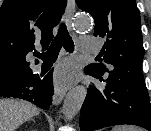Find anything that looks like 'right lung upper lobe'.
Instances as JSON below:
<instances>
[{"instance_id":"right-lung-upper-lobe-1","label":"right lung upper lobe","mask_w":151,"mask_h":131,"mask_svg":"<svg viewBox=\"0 0 151 131\" xmlns=\"http://www.w3.org/2000/svg\"><path fill=\"white\" fill-rule=\"evenodd\" d=\"M67 0H4L0 8V84L31 76L26 55L48 47ZM6 88V87H5Z\"/></svg>"}]
</instances>
